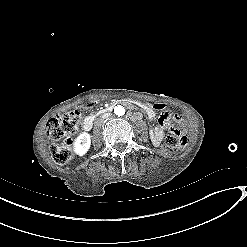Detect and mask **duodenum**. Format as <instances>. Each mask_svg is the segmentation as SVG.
I'll return each mask as SVG.
<instances>
[{
    "mask_svg": "<svg viewBox=\"0 0 247 247\" xmlns=\"http://www.w3.org/2000/svg\"><path fill=\"white\" fill-rule=\"evenodd\" d=\"M118 104H126L129 106H134L135 102L132 100H127V99L117 100V101L113 102L110 106L105 108L104 110L100 111L99 114L111 112L113 110V108ZM97 115L98 114H92V115L85 118V120L83 122V129L84 130L89 131L92 128L94 120H95Z\"/></svg>",
    "mask_w": 247,
    "mask_h": 247,
    "instance_id": "410a0bca",
    "label": "duodenum"
}]
</instances>
